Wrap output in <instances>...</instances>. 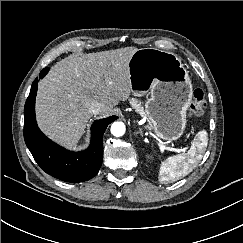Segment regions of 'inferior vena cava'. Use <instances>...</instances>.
I'll return each instance as SVG.
<instances>
[{
	"mask_svg": "<svg viewBox=\"0 0 243 243\" xmlns=\"http://www.w3.org/2000/svg\"><path fill=\"white\" fill-rule=\"evenodd\" d=\"M104 104L98 101H91L89 103V112L94 115L101 114L104 110Z\"/></svg>",
	"mask_w": 243,
	"mask_h": 243,
	"instance_id": "obj_1",
	"label": "inferior vena cava"
}]
</instances>
